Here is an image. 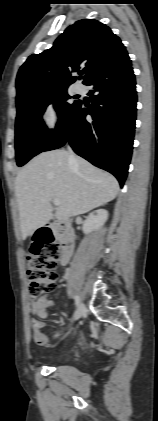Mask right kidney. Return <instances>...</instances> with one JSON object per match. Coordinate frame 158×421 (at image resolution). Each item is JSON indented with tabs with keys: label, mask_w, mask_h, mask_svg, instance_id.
I'll return each instance as SVG.
<instances>
[{
	"label": "right kidney",
	"mask_w": 158,
	"mask_h": 421,
	"mask_svg": "<svg viewBox=\"0 0 158 421\" xmlns=\"http://www.w3.org/2000/svg\"><path fill=\"white\" fill-rule=\"evenodd\" d=\"M108 219V212L104 209L97 210L88 215L83 222V232L89 234L100 229Z\"/></svg>",
	"instance_id": "right-kidney-1"
}]
</instances>
